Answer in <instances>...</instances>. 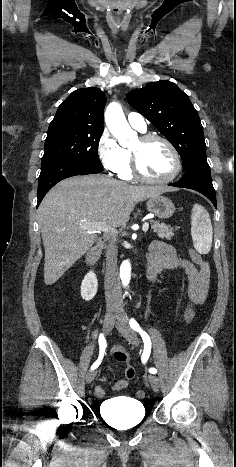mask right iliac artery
Masks as SVG:
<instances>
[{
	"label": "right iliac artery",
	"instance_id": "right-iliac-artery-1",
	"mask_svg": "<svg viewBox=\"0 0 236 467\" xmlns=\"http://www.w3.org/2000/svg\"><path fill=\"white\" fill-rule=\"evenodd\" d=\"M98 342H99V348H100L99 349V357L93 363V365L91 366V370L96 369L100 365V363H101V361H102V359L104 357V354H105V349H106L107 343H106V339H105L103 334L99 335Z\"/></svg>",
	"mask_w": 236,
	"mask_h": 467
}]
</instances>
